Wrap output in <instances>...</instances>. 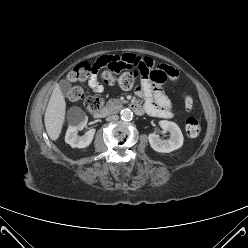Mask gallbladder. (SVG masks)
Masks as SVG:
<instances>
[{
  "label": "gallbladder",
  "mask_w": 248,
  "mask_h": 248,
  "mask_svg": "<svg viewBox=\"0 0 248 248\" xmlns=\"http://www.w3.org/2000/svg\"><path fill=\"white\" fill-rule=\"evenodd\" d=\"M59 86L64 95H68L70 93L71 84L68 81L66 80L61 81Z\"/></svg>",
  "instance_id": "obj_1"
}]
</instances>
